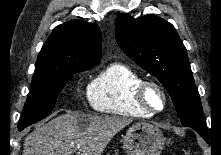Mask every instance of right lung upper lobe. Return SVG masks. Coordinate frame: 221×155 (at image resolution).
Listing matches in <instances>:
<instances>
[{"label": "right lung upper lobe", "mask_w": 221, "mask_h": 155, "mask_svg": "<svg viewBox=\"0 0 221 155\" xmlns=\"http://www.w3.org/2000/svg\"><path fill=\"white\" fill-rule=\"evenodd\" d=\"M102 36L95 24L75 20L54 28L35 67L96 65L101 60Z\"/></svg>", "instance_id": "1"}]
</instances>
